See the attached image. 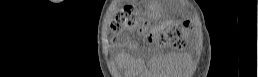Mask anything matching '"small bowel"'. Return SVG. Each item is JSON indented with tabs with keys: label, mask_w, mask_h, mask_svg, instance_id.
Instances as JSON below:
<instances>
[{
	"label": "small bowel",
	"mask_w": 258,
	"mask_h": 77,
	"mask_svg": "<svg viewBox=\"0 0 258 77\" xmlns=\"http://www.w3.org/2000/svg\"><path fill=\"white\" fill-rule=\"evenodd\" d=\"M126 47L130 49H135V46L132 42L127 41ZM128 60H130L135 66H140V59L137 56H127L124 55Z\"/></svg>",
	"instance_id": "small-bowel-1"
}]
</instances>
